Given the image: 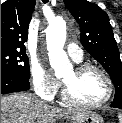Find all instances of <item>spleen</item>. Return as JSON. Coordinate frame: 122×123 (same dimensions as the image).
<instances>
[{"mask_svg":"<svg viewBox=\"0 0 122 123\" xmlns=\"http://www.w3.org/2000/svg\"><path fill=\"white\" fill-rule=\"evenodd\" d=\"M119 123H122V113L118 114Z\"/></svg>","mask_w":122,"mask_h":123,"instance_id":"3e777b00","label":"spleen"}]
</instances>
